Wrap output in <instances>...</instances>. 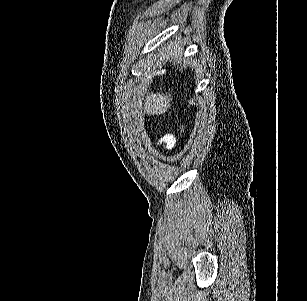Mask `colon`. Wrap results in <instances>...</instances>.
<instances>
[{
  "instance_id": "colon-1",
  "label": "colon",
  "mask_w": 307,
  "mask_h": 301,
  "mask_svg": "<svg viewBox=\"0 0 307 301\" xmlns=\"http://www.w3.org/2000/svg\"><path fill=\"white\" fill-rule=\"evenodd\" d=\"M160 144L163 147L170 149L174 145V138L171 135H167L161 139Z\"/></svg>"
}]
</instances>
